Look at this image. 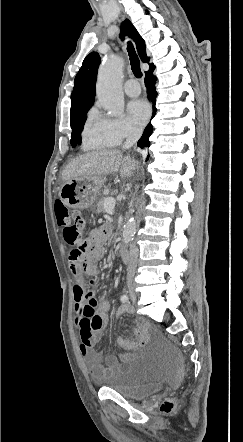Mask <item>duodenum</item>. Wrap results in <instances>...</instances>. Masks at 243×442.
<instances>
[{"label":"duodenum","mask_w":243,"mask_h":442,"mask_svg":"<svg viewBox=\"0 0 243 442\" xmlns=\"http://www.w3.org/2000/svg\"><path fill=\"white\" fill-rule=\"evenodd\" d=\"M120 255L123 261L129 262L130 261V250L127 246L123 245L120 249Z\"/></svg>","instance_id":"obj_1"}]
</instances>
